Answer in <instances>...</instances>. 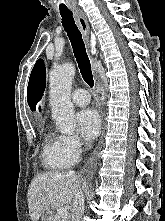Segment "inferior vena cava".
Wrapping results in <instances>:
<instances>
[{"mask_svg": "<svg viewBox=\"0 0 165 221\" xmlns=\"http://www.w3.org/2000/svg\"><path fill=\"white\" fill-rule=\"evenodd\" d=\"M83 213H84V195L82 190L78 189L76 191L72 205V221H80Z\"/></svg>", "mask_w": 165, "mask_h": 221, "instance_id": "1", "label": "inferior vena cava"}]
</instances>
